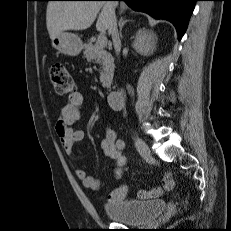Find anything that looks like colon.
I'll return each mask as SVG.
<instances>
[{
	"label": "colon",
	"mask_w": 231,
	"mask_h": 231,
	"mask_svg": "<svg viewBox=\"0 0 231 231\" xmlns=\"http://www.w3.org/2000/svg\"><path fill=\"white\" fill-rule=\"evenodd\" d=\"M50 77L57 95L64 97L75 92V81L64 65L53 64L50 69Z\"/></svg>",
	"instance_id": "colon-1"
}]
</instances>
